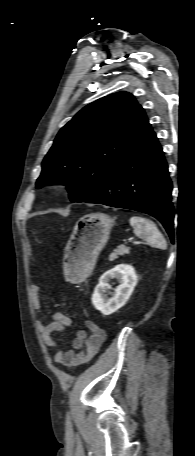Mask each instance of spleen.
Instances as JSON below:
<instances>
[{"label": "spleen", "mask_w": 195, "mask_h": 456, "mask_svg": "<svg viewBox=\"0 0 195 456\" xmlns=\"http://www.w3.org/2000/svg\"><path fill=\"white\" fill-rule=\"evenodd\" d=\"M130 225L133 227L136 236L144 239L153 247L166 249V240L164 239L162 233L158 230L156 224L150 219L133 216L130 218Z\"/></svg>", "instance_id": "1"}]
</instances>
